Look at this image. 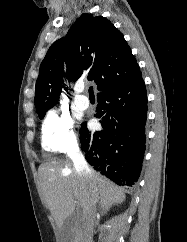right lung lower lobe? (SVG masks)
<instances>
[{
    "label": "right lung lower lobe",
    "mask_w": 187,
    "mask_h": 242,
    "mask_svg": "<svg viewBox=\"0 0 187 242\" xmlns=\"http://www.w3.org/2000/svg\"><path fill=\"white\" fill-rule=\"evenodd\" d=\"M95 116L103 130L80 128L86 160L118 185L132 186L139 178L145 151L147 93L142 74L97 95Z\"/></svg>",
    "instance_id": "98d812e1"
}]
</instances>
